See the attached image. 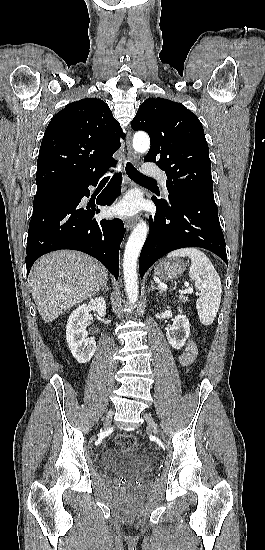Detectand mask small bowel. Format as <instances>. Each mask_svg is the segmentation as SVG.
<instances>
[{"mask_svg":"<svg viewBox=\"0 0 265 550\" xmlns=\"http://www.w3.org/2000/svg\"><path fill=\"white\" fill-rule=\"evenodd\" d=\"M197 355L196 346L193 341L189 340L187 341L184 350L179 355V362L183 366H189L191 365Z\"/></svg>","mask_w":265,"mask_h":550,"instance_id":"small-bowel-1","label":"small bowel"}]
</instances>
